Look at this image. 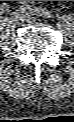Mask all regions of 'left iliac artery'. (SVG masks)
Returning <instances> with one entry per match:
<instances>
[{
  "label": "left iliac artery",
  "mask_w": 74,
  "mask_h": 122,
  "mask_svg": "<svg viewBox=\"0 0 74 122\" xmlns=\"http://www.w3.org/2000/svg\"><path fill=\"white\" fill-rule=\"evenodd\" d=\"M22 8H23V11L29 15H39V16H43L48 19L54 18L53 13L46 8L35 7V6H31V5H25V6H22ZM22 8H21V10H22Z\"/></svg>",
  "instance_id": "1"
}]
</instances>
